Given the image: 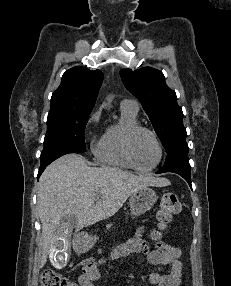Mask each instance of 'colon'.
Returning <instances> with one entry per match:
<instances>
[{
	"label": "colon",
	"mask_w": 231,
	"mask_h": 286,
	"mask_svg": "<svg viewBox=\"0 0 231 286\" xmlns=\"http://www.w3.org/2000/svg\"><path fill=\"white\" fill-rule=\"evenodd\" d=\"M181 212V204L176 194L172 192L165 193L161 199L157 219L159 228L164 229L176 215ZM154 239L160 237V232L152 234ZM41 286H77L67 277L54 270H46L41 277Z\"/></svg>",
	"instance_id": "5ec220e1"
}]
</instances>
